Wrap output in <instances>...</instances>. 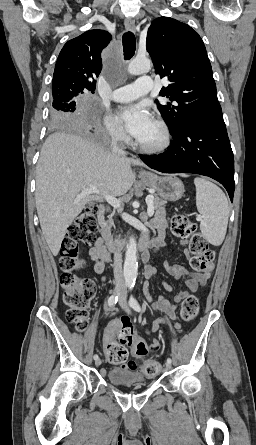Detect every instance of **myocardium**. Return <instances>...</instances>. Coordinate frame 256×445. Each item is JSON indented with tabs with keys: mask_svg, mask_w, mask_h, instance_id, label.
I'll return each instance as SVG.
<instances>
[{
	"mask_svg": "<svg viewBox=\"0 0 256 445\" xmlns=\"http://www.w3.org/2000/svg\"><path fill=\"white\" fill-rule=\"evenodd\" d=\"M154 122L161 130L162 138L159 143L154 145H145L138 140L135 141V145L143 152L150 154H157L164 152L171 144L172 134L168 124L161 118H155Z\"/></svg>",
	"mask_w": 256,
	"mask_h": 445,
	"instance_id": "myocardium-1",
	"label": "myocardium"
}]
</instances>
